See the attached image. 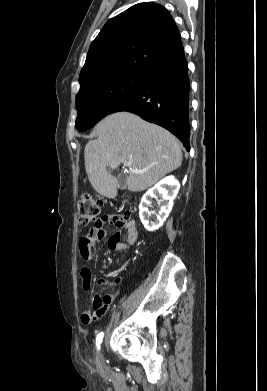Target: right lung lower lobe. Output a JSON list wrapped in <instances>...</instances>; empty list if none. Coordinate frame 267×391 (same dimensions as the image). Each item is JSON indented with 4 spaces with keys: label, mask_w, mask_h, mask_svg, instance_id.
<instances>
[{
    "label": "right lung lower lobe",
    "mask_w": 267,
    "mask_h": 391,
    "mask_svg": "<svg viewBox=\"0 0 267 391\" xmlns=\"http://www.w3.org/2000/svg\"><path fill=\"white\" fill-rule=\"evenodd\" d=\"M189 90L188 66L183 53L153 67L142 85L111 113L128 111L160 125L176 135L189 151Z\"/></svg>",
    "instance_id": "98d812e1"
}]
</instances>
